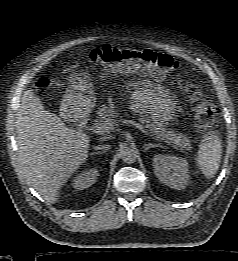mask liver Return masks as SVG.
Masks as SVG:
<instances>
[{
    "instance_id": "obj_1",
    "label": "liver",
    "mask_w": 238,
    "mask_h": 261,
    "mask_svg": "<svg viewBox=\"0 0 238 261\" xmlns=\"http://www.w3.org/2000/svg\"><path fill=\"white\" fill-rule=\"evenodd\" d=\"M22 171L29 184L49 203L88 157L89 137L47 111L33 90L23 93L16 119Z\"/></svg>"
}]
</instances>
